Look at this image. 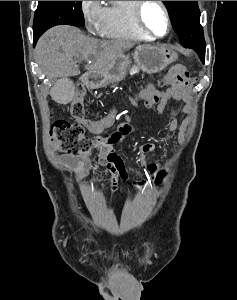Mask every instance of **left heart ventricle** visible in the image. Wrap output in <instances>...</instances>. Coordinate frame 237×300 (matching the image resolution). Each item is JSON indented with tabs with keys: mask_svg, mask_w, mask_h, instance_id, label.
Listing matches in <instances>:
<instances>
[{
	"mask_svg": "<svg viewBox=\"0 0 237 300\" xmlns=\"http://www.w3.org/2000/svg\"><path fill=\"white\" fill-rule=\"evenodd\" d=\"M144 20L147 26L157 35L166 31V20L162 8L155 1H150L144 10Z\"/></svg>",
	"mask_w": 237,
	"mask_h": 300,
	"instance_id": "1",
	"label": "left heart ventricle"
}]
</instances>
